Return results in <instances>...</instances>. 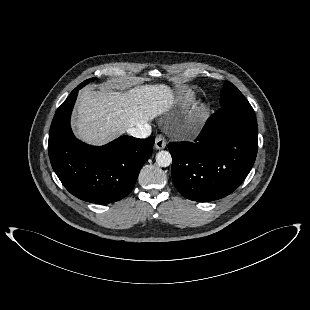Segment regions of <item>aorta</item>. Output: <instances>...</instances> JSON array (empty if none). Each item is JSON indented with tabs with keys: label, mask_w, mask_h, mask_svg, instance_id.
Segmentation results:
<instances>
[{
	"label": "aorta",
	"mask_w": 310,
	"mask_h": 310,
	"mask_svg": "<svg viewBox=\"0 0 310 310\" xmlns=\"http://www.w3.org/2000/svg\"><path fill=\"white\" fill-rule=\"evenodd\" d=\"M156 163L160 167H168L172 163L171 154L168 151L162 150L156 154Z\"/></svg>",
	"instance_id": "obj_1"
}]
</instances>
